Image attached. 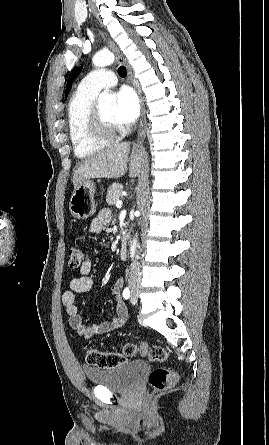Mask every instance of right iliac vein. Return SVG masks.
Instances as JSON below:
<instances>
[{"instance_id":"obj_1","label":"right iliac vein","mask_w":269,"mask_h":445,"mask_svg":"<svg viewBox=\"0 0 269 445\" xmlns=\"http://www.w3.org/2000/svg\"><path fill=\"white\" fill-rule=\"evenodd\" d=\"M133 292L136 293V290L134 289Z\"/></svg>"}]
</instances>
